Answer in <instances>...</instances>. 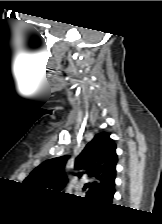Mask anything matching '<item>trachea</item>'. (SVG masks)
<instances>
[{
  "label": "trachea",
  "mask_w": 162,
  "mask_h": 224,
  "mask_svg": "<svg viewBox=\"0 0 162 224\" xmlns=\"http://www.w3.org/2000/svg\"><path fill=\"white\" fill-rule=\"evenodd\" d=\"M87 188V186H84V190Z\"/></svg>",
  "instance_id": "3493384b"
}]
</instances>
